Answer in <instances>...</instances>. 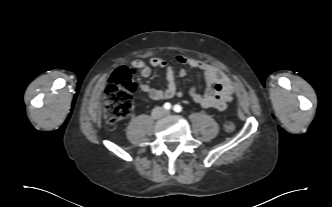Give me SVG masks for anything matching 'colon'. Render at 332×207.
<instances>
[{
    "instance_id": "5ec220e1",
    "label": "colon",
    "mask_w": 332,
    "mask_h": 207,
    "mask_svg": "<svg viewBox=\"0 0 332 207\" xmlns=\"http://www.w3.org/2000/svg\"><path fill=\"white\" fill-rule=\"evenodd\" d=\"M133 76L132 69L120 67L109 79L105 89L103 111L106 122L111 126L126 117L132 107L133 94L138 88ZM234 128L232 122H226L224 125L226 132H232Z\"/></svg>"
}]
</instances>
